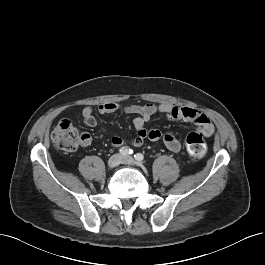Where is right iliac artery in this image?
Instances as JSON below:
<instances>
[{
  "label": "right iliac artery",
  "instance_id": "1",
  "mask_svg": "<svg viewBox=\"0 0 265 265\" xmlns=\"http://www.w3.org/2000/svg\"><path fill=\"white\" fill-rule=\"evenodd\" d=\"M120 154L121 155H130L133 153V150L128 148V147H122L120 150H119Z\"/></svg>",
  "mask_w": 265,
  "mask_h": 265
}]
</instances>
